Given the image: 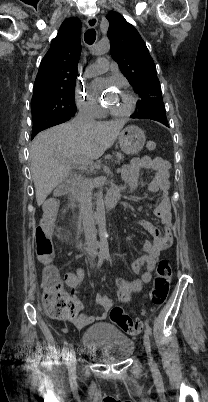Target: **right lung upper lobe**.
<instances>
[{
  "label": "right lung upper lobe",
  "mask_w": 208,
  "mask_h": 402,
  "mask_svg": "<svg viewBox=\"0 0 208 402\" xmlns=\"http://www.w3.org/2000/svg\"><path fill=\"white\" fill-rule=\"evenodd\" d=\"M80 28L78 18H68L62 23L40 63L33 94L43 88L76 81L81 51Z\"/></svg>",
  "instance_id": "1"
}]
</instances>
